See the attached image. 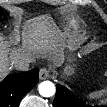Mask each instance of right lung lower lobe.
Returning <instances> with one entry per match:
<instances>
[{
  "label": "right lung lower lobe",
  "instance_id": "1",
  "mask_svg": "<svg viewBox=\"0 0 107 107\" xmlns=\"http://www.w3.org/2000/svg\"><path fill=\"white\" fill-rule=\"evenodd\" d=\"M39 70L7 76L0 83V107H18L23 96L37 84Z\"/></svg>",
  "mask_w": 107,
  "mask_h": 107
}]
</instances>
